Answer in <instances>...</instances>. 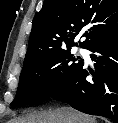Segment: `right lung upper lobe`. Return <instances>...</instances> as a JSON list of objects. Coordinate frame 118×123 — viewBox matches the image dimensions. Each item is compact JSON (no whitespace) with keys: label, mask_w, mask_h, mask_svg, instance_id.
Wrapping results in <instances>:
<instances>
[{"label":"right lung upper lobe","mask_w":118,"mask_h":123,"mask_svg":"<svg viewBox=\"0 0 118 123\" xmlns=\"http://www.w3.org/2000/svg\"><path fill=\"white\" fill-rule=\"evenodd\" d=\"M89 49L101 40L118 35V0H45L36 13L24 59L27 64L45 54L76 46Z\"/></svg>","instance_id":"obj_1"}]
</instances>
